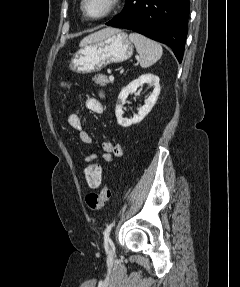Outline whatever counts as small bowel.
<instances>
[{
	"instance_id": "c3829d8e",
	"label": "small bowel",
	"mask_w": 240,
	"mask_h": 287,
	"mask_svg": "<svg viewBox=\"0 0 240 287\" xmlns=\"http://www.w3.org/2000/svg\"><path fill=\"white\" fill-rule=\"evenodd\" d=\"M104 94L99 92L98 96L88 97L85 101L86 108L96 114H101L104 111L103 105ZM67 122L69 126L77 131H79V138L82 143L86 145L92 144L91 135L84 129L83 117L79 113H70L67 115ZM123 155V147L120 143L105 141L102 143V154L101 159L104 162L110 163L114 161L115 158L121 157Z\"/></svg>"
}]
</instances>
